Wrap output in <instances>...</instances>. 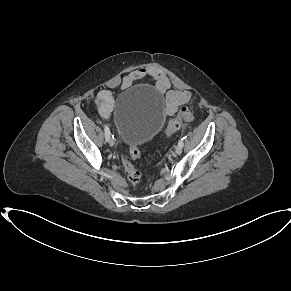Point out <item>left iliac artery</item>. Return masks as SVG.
<instances>
[{
	"label": "left iliac artery",
	"instance_id": "left-iliac-artery-1",
	"mask_svg": "<svg viewBox=\"0 0 291 291\" xmlns=\"http://www.w3.org/2000/svg\"><path fill=\"white\" fill-rule=\"evenodd\" d=\"M183 140H184V138H181V139L179 140V143H178V144H180L182 147H183Z\"/></svg>",
	"mask_w": 291,
	"mask_h": 291
}]
</instances>
